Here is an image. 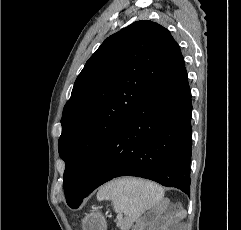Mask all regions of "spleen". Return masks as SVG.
<instances>
[{
  "label": "spleen",
  "instance_id": "spleen-1",
  "mask_svg": "<svg viewBox=\"0 0 241 230\" xmlns=\"http://www.w3.org/2000/svg\"><path fill=\"white\" fill-rule=\"evenodd\" d=\"M163 196L164 190L158 184L129 177L111 181L97 193L98 201H111L115 212L125 213L130 224L161 201Z\"/></svg>",
  "mask_w": 241,
  "mask_h": 230
}]
</instances>
